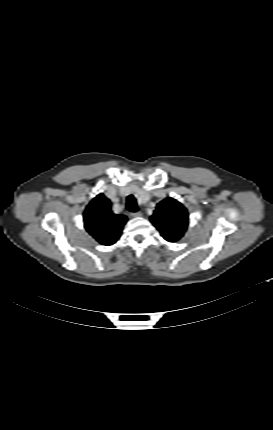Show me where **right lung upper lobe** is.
Listing matches in <instances>:
<instances>
[{
  "instance_id": "1",
  "label": "right lung upper lobe",
  "mask_w": 273,
  "mask_h": 430,
  "mask_svg": "<svg viewBox=\"0 0 273 430\" xmlns=\"http://www.w3.org/2000/svg\"><path fill=\"white\" fill-rule=\"evenodd\" d=\"M127 218L111 211V202L101 193L97 195L84 211L85 228L99 243L112 245L121 234Z\"/></svg>"
}]
</instances>
